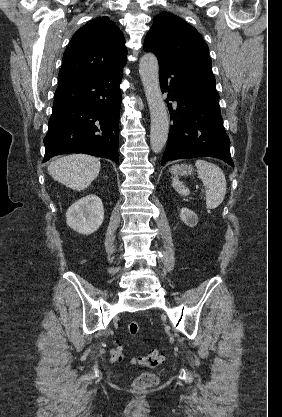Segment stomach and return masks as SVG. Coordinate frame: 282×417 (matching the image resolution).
<instances>
[{
	"instance_id": "stomach-1",
	"label": "stomach",
	"mask_w": 282,
	"mask_h": 417,
	"mask_svg": "<svg viewBox=\"0 0 282 417\" xmlns=\"http://www.w3.org/2000/svg\"><path fill=\"white\" fill-rule=\"evenodd\" d=\"M170 172L172 174H192V166H187V164H174V166H171Z\"/></svg>"
}]
</instances>
